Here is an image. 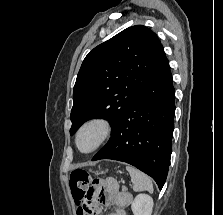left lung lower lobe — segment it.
Wrapping results in <instances>:
<instances>
[{
  "label": "left lung lower lobe",
  "mask_w": 223,
  "mask_h": 215,
  "mask_svg": "<svg viewBox=\"0 0 223 215\" xmlns=\"http://www.w3.org/2000/svg\"><path fill=\"white\" fill-rule=\"evenodd\" d=\"M175 90L168 60L151 76L126 109L108 143L93 158L129 163L162 189L172 152Z\"/></svg>",
  "instance_id": "obj_1"
}]
</instances>
